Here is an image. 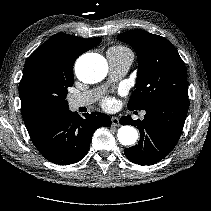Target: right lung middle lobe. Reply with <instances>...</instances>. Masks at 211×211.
Here are the masks:
<instances>
[{
	"mask_svg": "<svg viewBox=\"0 0 211 211\" xmlns=\"http://www.w3.org/2000/svg\"><path fill=\"white\" fill-rule=\"evenodd\" d=\"M73 83V76L64 75L47 61L40 60L23 73L19 94L34 107L54 113L68 108L65 97Z\"/></svg>",
	"mask_w": 211,
	"mask_h": 211,
	"instance_id": "obj_1",
	"label": "right lung middle lobe"
}]
</instances>
